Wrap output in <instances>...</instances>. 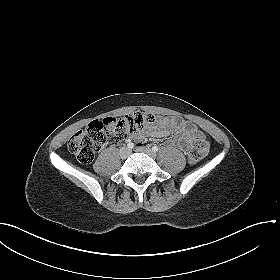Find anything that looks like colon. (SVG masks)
Returning <instances> with one entry per match:
<instances>
[{"label": "colon", "instance_id": "1", "mask_svg": "<svg viewBox=\"0 0 280 280\" xmlns=\"http://www.w3.org/2000/svg\"><path fill=\"white\" fill-rule=\"evenodd\" d=\"M152 113H133L122 118H106L91 122L87 127L75 133L69 143V151L82 164L93 161L96 153L109 141H120L129 135L140 132L144 127L154 123ZM209 143L201 134L192 138L188 151L189 161L197 163L208 153Z\"/></svg>", "mask_w": 280, "mask_h": 280}]
</instances>
